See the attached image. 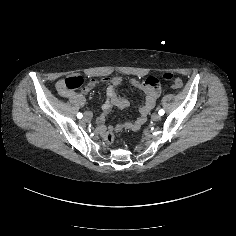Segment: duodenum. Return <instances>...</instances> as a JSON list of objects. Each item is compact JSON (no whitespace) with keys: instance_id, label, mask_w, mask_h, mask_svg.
<instances>
[{"instance_id":"obj_1","label":"duodenum","mask_w":236,"mask_h":236,"mask_svg":"<svg viewBox=\"0 0 236 236\" xmlns=\"http://www.w3.org/2000/svg\"><path fill=\"white\" fill-rule=\"evenodd\" d=\"M107 82L110 83V86H109L110 103H112V104L113 103H121V100L114 95V93H115L114 86H116L119 83V80L118 79H111V80H108ZM133 85L143 89L147 93V99H146V102L143 106H145L149 100L153 99L157 93V89L152 83L148 84L147 82L146 83H139L137 81H134ZM73 101L76 104H81L83 102V100L80 98L73 99ZM121 127H123V126H119V128H121ZM126 127L130 128L131 124L126 125Z\"/></svg>"}]
</instances>
